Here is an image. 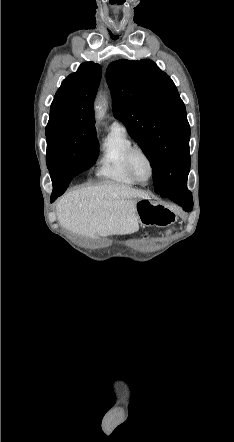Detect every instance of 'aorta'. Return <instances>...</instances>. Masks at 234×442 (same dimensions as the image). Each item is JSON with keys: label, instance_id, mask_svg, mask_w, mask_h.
<instances>
[{"label": "aorta", "instance_id": "1", "mask_svg": "<svg viewBox=\"0 0 234 442\" xmlns=\"http://www.w3.org/2000/svg\"><path fill=\"white\" fill-rule=\"evenodd\" d=\"M103 106H104V102H101V103L98 105V110H99L98 116H99V117H102V116L104 115V109H103Z\"/></svg>", "mask_w": 234, "mask_h": 442}]
</instances>
